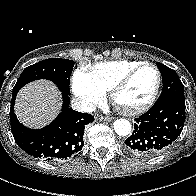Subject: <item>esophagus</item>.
<instances>
[{
    "label": "esophagus",
    "mask_w": 196,
    "mask_h": 196,
    "mask_svg": "<svg viewBox=\"0 0 196 196\" xmlns=\"http://www.w3.org/2000/svg\"><path fill=\"white\" fill-rule=\"evenodd\" d=\"M97 120H100V121H112V117H109V116H99V117H96Z\"/></svg>",
    "instance_id": "esophagus-1"
}]
</instances>
